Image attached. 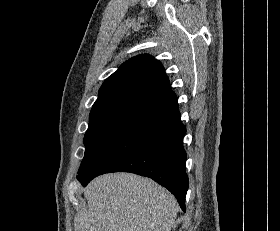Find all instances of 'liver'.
<instances>
[{
  "label": "liver",
  "instance_id": "1",
  "mask_svg": "<svg viewBox=\"0 0 280 231\" xmlns=\"http://www.w3.org/2000/svg\"><path fill=\"white\" fill-rule=\"evenodd\" d=\"M77 231H171L177 201L165 187L135 173H106L84 187Z\"/></svg>",
  "mask_w": 280,
  "mask_h": 231
}]
</instances>
